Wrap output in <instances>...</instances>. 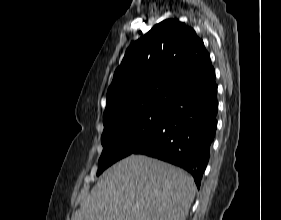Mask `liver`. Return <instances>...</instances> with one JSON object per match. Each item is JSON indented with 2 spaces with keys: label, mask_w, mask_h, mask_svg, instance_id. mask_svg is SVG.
Listing matches in <instances>:
<instances>
[{
  "label": "liver",
  "mask_w": 281,
  "mask_h": 220,
  "mask_svg": "<svg viewBox=\"0 0 281 220\" xmlns=\"http://www.w3.org/2000/svg\"><path fill=\"white\" fill-rule=\"evenodd\" d=\"M195 190L183 169L130 155L103 173L71 220H186Z\"/></svg>",
  "instance_id": "6515ba94"
}]
</instances>
